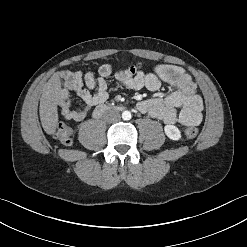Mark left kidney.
I'll return each instance as SVG.
<instances>
[{
	"mask_svg": "<svg viewBox=\"0 0 247 247\" xmlns=\"http://www.w3.org/2000/svg\"><path fill=\"white\" fill-rule=\"evenodd\" d=\"M164 131L167 137L170 138L171 140L177 141L181 138L180 130L174 125H166L164 127Z\"/></svg>",
	"mask_w": 247,
	"mask_h": 247,
	"instance_id": "left-kidney-1",
	"label": "left kidney"
}]
</instances>
